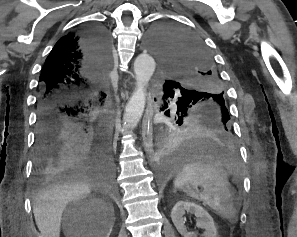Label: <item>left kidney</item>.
Returning a JSON list of instances; mask_svg holds the SVG:
<instances>
[{
  "label": "left kidney",
  "instance_id": "left-kidney-1",
  "mask_svg": "<svg viewBox=\"0 0 297 237\" xmlns=\"http://www.w3.org/2000/svg\"><path fill=\"white\" fill-rule=\"evenodd\" d=\"M185 212L194 214L197 218L196 226L204 229V237H217L218 232L211 215L201 206L188 201H178L171 211V219L177 231L183 237H197L196 232H188L185 225Z\"/></svg>",
  "mask_w": 297,
  "mask_h": 237
}]
</instances>
